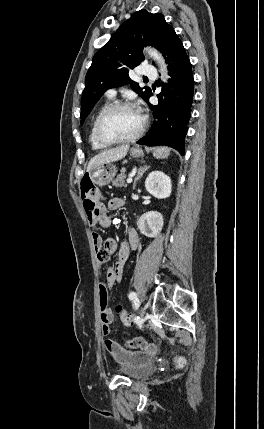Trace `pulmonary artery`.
<instances>
[{
  "instance_id": "1",
  "label": "pulmonary artery",
  "mask_w": 264,
  "mask_h": 429,
  "mask_svg": "<svg viewBox=\"0 0 264 429\" xmlns=\"http://www.w3.org/2000/svg\"><path fill=\"white\" fill-rule=\"evenodd\" d=\"M141 74L145 77L154 79L157 76V71L152 65L144 64L142 66ZM115 94H116V91L114 89H109L107 91V96L110 98H113Z\"/></svg>"
}]
</instances>
